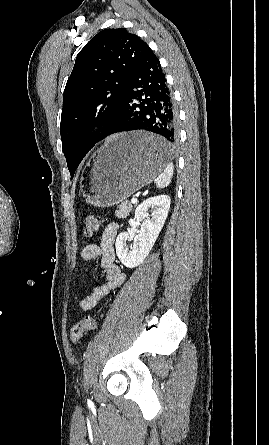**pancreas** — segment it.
<instances>
[{
  "label": "pancreas",
  "instance_id": "pancreas-1",
  "mask_svg": "<svg viewBox=\"0 0 269 445\" xmlns=\"http://www.w3.org/2000/svg\"><path fill=\"white\" fill-rule=\"evenodd\" d=\"M132 209L133 205L130 202L125 201L118 206V210H116L115 215L117 218H126Z\"/></svg>",
  "mask_w": 269,
  "mask_h": 445
}]
</instances>
